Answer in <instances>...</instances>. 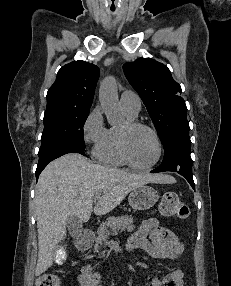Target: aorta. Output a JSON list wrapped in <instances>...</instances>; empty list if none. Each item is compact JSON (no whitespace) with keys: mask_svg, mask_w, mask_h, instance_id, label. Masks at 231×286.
Instances as JSON below:
<instances>
[{"mask_svg":"<svg viewBox=\"0 0 231 286\" xmlns=\"http://www.w3.org/2000/svg\"><path fill=\"white\" fill-rule=\"evenodd\" d=\"M99 101L110 125L116 126L123 121L117 94V82L114 77H106L101 82Z\"/></svg>","mask_w":231,"mask_h":286,"instance_id":"1","label":"aorta"}]
</instances>
